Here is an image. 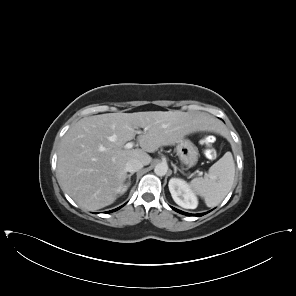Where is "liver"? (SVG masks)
<instances>
[{
    "label": "liver",
    "instance_id": "liver-1",
    "mask_svg": "<svg viewBox=\"0 0 296 296\" xmlns=\"http://www.w3.org/2000/svg\"><path fill=\"white\" fill-rule=\"evenodd\" d=\"M143 128V132L135 129ZM197 131H216L215 120L203 112L147 111L106 113L84 117L62 138L57 179L81 208L98 210L111 205L127 178L131 159L149 165L161 146L173 145ZM141 148L126 149L135 138Z\"/></svg>",
    "mask_w": 296,
    "mask_h": 296
}]
</instances>
